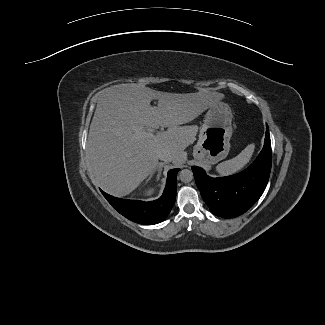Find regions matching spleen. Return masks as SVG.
I'll return each instance as SVG.
<instances>
[{
  "mask_svg": "<svg viewBox=\"0 0 325 325\" xmlns=\"http://www.w3.org/2000/svg\"><path fill=\"white\" fill-rule=\"evenodd\" d=\"M254 149L255 144H249L236 157L218 164L216 171L222 176L231 175L240 171L250 161L254 153Z\"/></svg>",
  "mask_w": 325,
  "mask_h": 325,
  "instance_id": "3e777b00",
  "label": "spleen"
}]
</instances>
